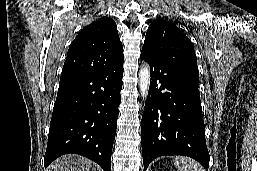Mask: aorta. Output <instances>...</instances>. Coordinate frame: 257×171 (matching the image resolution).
Masks as SVG:
<instances>
[{
    "label": "aorta",
    "mask_w": 257,
    "mask_h": 171,
    "mask_svg": "<svg viewBox=\"0 0 257 171\" xmlns=\"http://www.w3.org/2000/svg\"><path fill=\"white\" fill-rule=\"evenodd\" d=\"M150 86V69L149 66L143 65L139 71V87L141 96L146 100Z\"/></svg>",
    "instance_id": "1"
}]
</instances>
